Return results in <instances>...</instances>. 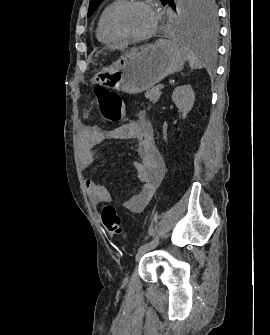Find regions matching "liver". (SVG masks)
Masks as SVG:
<instances>
[{"label":"liver","mask_w":270,"mask_h":335,"mask_svg":"<svg viewBox=\"0 0 270 335\" xmlns=\"http://www.w3.org/2000/svg\"><path fill=\"white\" fill-rule=\"evenodd\" d=\"M124 48H127V44H124Z\"/></svg>","instance_id":"obj_1"}]
</instances>
